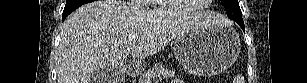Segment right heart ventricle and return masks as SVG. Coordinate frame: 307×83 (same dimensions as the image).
<instances>
[{
    "label": "right heart ventricle",
    "instance_id": "e07e8e85",
    "mask_svg": "<svg viewBox=\"0 0 307 83\" xmlns=\"http://www.w3.org/2000/svg\"><path fill=\"white\" fill-rule=\"evenodd\" d=\"M157 2H158V1H157ZM160 2H161V1H160ZM166 6H167V1H165L164 4H162V3H155V4H154V7H155V8H158V9H165Z\"/></svg>",
    "mask_w": 307,
    "mask_h": 83
}]
</instances>
